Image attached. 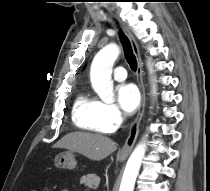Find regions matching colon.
I'll return each mask as SVG.
<instances>
[{"instance_id": "obj_1", "label": "colon", "mask_w": 210, "mask_h": 191, "mask_svg": "<svg viewBox=\"0 0 210 191\" xmlns=\"http://www.w3.org/2000/svg\"><path fill=\"white\" fill-rule=\"evenodd\" d=\"M31 191H39V190H31Z\"/></svg>"}]
</instances>
